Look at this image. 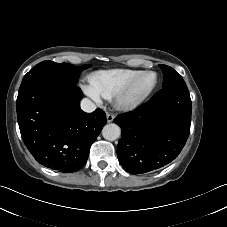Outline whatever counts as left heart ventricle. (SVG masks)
<instances>
[{"mask_svg":"<svg viewBox=\"0 0 227 227\" xmlns=\"http://www.w3.org/2000/svg\"><path fill=\"white\" fill-rule=\"evenodd\" d=\"M154 82V75L148 74L143 76L138 83L136 84L133 92L132 97H138L142 95Z\"/></svg>","mask_w":227,"mask_h":227,"instance_id":"left-heart-ventricle-1","label":"left heart ventricle"}]
</instances>
